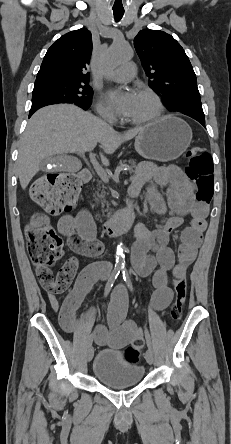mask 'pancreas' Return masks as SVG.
Segmentation results:
<instances>
[{"label": "pancreas", "mask_w": 231, "mask_h": 444, "mask_svg": "<svg viewBox=\"0 0 231 444\" xmlns=\"http://www.w3.org/2000/svg\"><path fill=\"white\" fill-rule=\"evenodd\" d=\"M121 167H126L129 171H133V169L136 167V161L135 160H124L119 162ZM103 197V195H101Z\"/></svg>", "instance_id": "pancreas-1"}]
</instances>
